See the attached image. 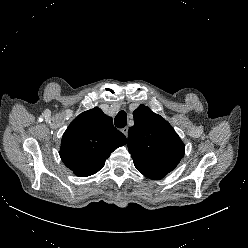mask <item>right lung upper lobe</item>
I'll use <instances>...</instances> for the list:
<instances>
[{"label": "right lung upper lobe", "instance_id": "cb5924a9", "mask_svg": "<svg viewBox=\"0 0 248 248\" xmlns=\"http://www.w3.org/2000/svg\"><path fill=\"white\" fill-rule=\"evenodd\" d=\"M127 143L112 118L101 109L85 111L77 116L66 129L60 148L64 164L80 177L97 173L116 148Z\"/></svg>", "mask_w": 248, "mask_h": 248}]
</instances>
